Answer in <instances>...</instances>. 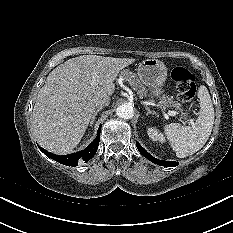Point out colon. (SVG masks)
Segmentation results:
<instances>
[{
  "label": "colon",
  "instance_id": "5ec220e1",
  "mask_svg": "<svg viewBox=\"0 0 233 233\" xmlns=\"http://www.w3.org/2000/svg\"><path fill=\"white\" fill-rule=\"evenodd\" d=\"M177 90L178 99L183 103L191 102L196 94L195 76L184 67H176L171 73Z\"/></svg>",
  "mask_w": 233,
  "mask_h": 233
}]
</instances>
